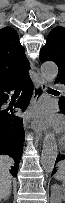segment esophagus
<instances>
[{"instance_id": "1", "label": "esophagus", "mask_w": 65, "mask_h": 203, "mask_svg": "<svg viewBox=\"0 0 65 203\" xmlns=\"http://www.w3.org/2000/svg\"><path fill=\"white\" fill-rule=\"evenodd\" d=\"M46 98V82L42 77H39L38 82L34 86V92L30 104V114L34 112L36 108L45 100ZM31 130L36 136L42 138V126L37 124L33 119L30 126Z\"/></svg>"}]
</instances>
